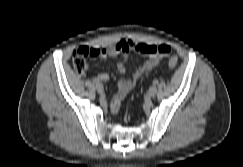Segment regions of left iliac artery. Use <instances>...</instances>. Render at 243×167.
Returning <instances> with one entry per match:
<instances>
[{
    "mask_svg": "<svg viewBox=\"0 0 243 167\" xmlns=\"http://www.w3.org/2000/svg\"><path fill=\"white\" fill-rule=\"evenodd\" d=\"M153 84H158V80L157 79H155L154 81H153Z\"/></svg>",
    "mask_w": 243,
    "mask_h": 167,
    "instance_id": "left-iliac-artery-1",
    "label": "left iliac artery"
}]
</instances>
